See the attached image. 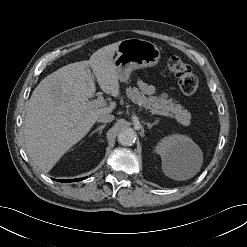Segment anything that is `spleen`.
Segmentation results:
<instances>
[{
    "mask_svg": "<svg viewBox=\"0 0 247 247\" xmlns=\"http://www.w3.org/2000/svg\"><path fill=\"white\" fill-rule=\"evenodd\" d=\"M169 175L174 178H179V179H186L189 178L191 175H187L185 172L181 170V168H176L174 171H170Z\"/></svg>",
    "mask_w": 247,
    "mask_h": 247,
    "instance_id": "3e777b00",
    "label": "spleen"
}]
</instances>
